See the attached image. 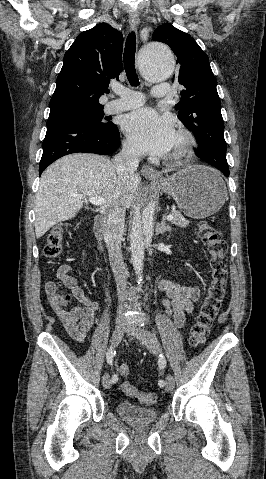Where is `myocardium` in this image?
Instances as JSON below:
<instances>
[{
    "label": "myocardium",
    "mask_w": 266,
    "mask_h": 479,
    "mask_svg": "<svg viewBox=\"0 0 266 479\" xmlns=\"http://www.w3.org/2000/svg\"><path fill=\"white\" fill-rule=\"evenodd\" d=\"M176 136L180 139V143L173 149L168 156L169 161H181L189 157L196 146V140L193 134L186 130L180 129L177 131Z\"/></svg>",
    "instance_id": "obj_1"
}]
</instances>
